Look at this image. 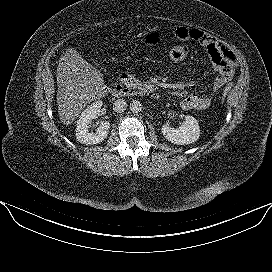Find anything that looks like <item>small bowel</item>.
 <instances>
[{"label":"small bowel","mask_w":272,"mask_h":272,"mask_svg":"<svg viewBox=\"0 0 272 272\" xmlns=\"http://www.w3.org/2000/svg\"><path fill=\"white\" fill-rule=\"evenodd\" d=\"M175 36L179 40H193L201 44L217 72L210 93L200 95L193 92L186 95L180 102L184 110H205L210 106L215 93L231 81L236 67L235 56L223 42L199 29L178 27L175 30Z\"/></svg>","instance_id":"c3829d8e"}]
</instances>
